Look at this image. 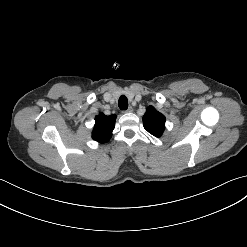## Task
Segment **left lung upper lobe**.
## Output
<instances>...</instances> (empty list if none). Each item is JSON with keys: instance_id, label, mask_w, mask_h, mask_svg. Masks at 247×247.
Wrapping results in <instances>:
<instances>
[{"instance_id": "left-lung-upper-lobe-1", "label": "left lung upper lobe", "mask_w": 247, "mask_h": 247, "mask_svg": "<svg viewBox=\"0 0 247 247\" xmlns=\"http://www.w3.org/2000/svg\"><path fill=\"white\" fill-rule=\"evenodd\" d=\"M143 125L150 134L160 137L165 130V116L149 106L143 116Z\"/></svg>"}]
</instances>
